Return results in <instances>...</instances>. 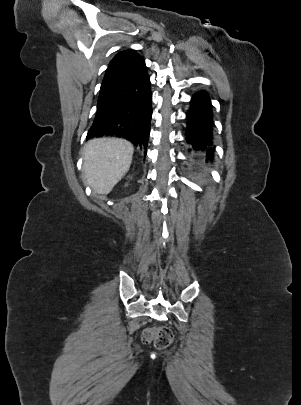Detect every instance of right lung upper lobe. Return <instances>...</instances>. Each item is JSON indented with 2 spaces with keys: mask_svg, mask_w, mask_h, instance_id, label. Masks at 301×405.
<instances>
[{
  "mask_svg": "<svg viewBox=\"0 0 301 405\" xmlns=\"http://www.w3.org/2000/svg\"><path fill=\"white\" fill-rule=\"evenodd\" d=\"M142 57L132 50L119 52L110 62L105 73L100 92L118 82Z\"/></svg>",
  "mask_w": 301,
  "mask_h": 405,
  "instance_id": "right-lung-upper-lobe-1",
  "label": "right lung upper lobe"
}]
</instances>
